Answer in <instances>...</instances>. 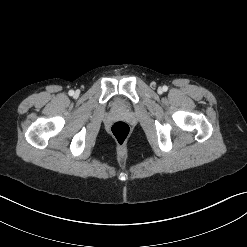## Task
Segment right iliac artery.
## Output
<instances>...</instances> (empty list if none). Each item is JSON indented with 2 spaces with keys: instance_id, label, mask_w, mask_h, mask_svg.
I'll use <instances>...</instances> for the list:
<instances>
[{
  "instance_id": "82829eb1",
  "label": "right iliac artery",
  "mask_w": 247,
  "mask_h": 247,
  "mask_svg": "<svg viewBox=\"0 0 247 247\" xmlns=\"http://www.w3.org/2000/svg\"><path fill=\"white\" fill-rule=\"evenodd\" d=\"M73 94H74V91H73V90H70V91H69V95H70V96H73Z\"/></svg>"
}]
</instances>
